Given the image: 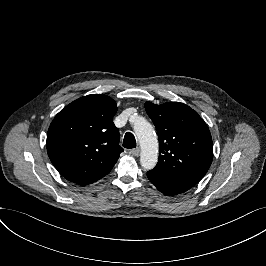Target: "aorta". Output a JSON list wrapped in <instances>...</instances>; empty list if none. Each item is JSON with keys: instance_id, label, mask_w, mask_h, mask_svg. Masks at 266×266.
Instances as JSON below:
<instances>
[{"instance_id": "1", "label": "aorta", "mask_w": 266, "mask_h": 266, "mask_svg": "<svg viewBox=\"0 0 266 266\" xmlns=\"http://www.w3.org/2000/svg\"><path fill=\"white\" fill-rule=\"evenodd\" d=\"M132 129L141 145L140 165L145 171L153 170L158 163V141L151 123L139 116L132 123Z\"/></svg>"}]
</instances>
